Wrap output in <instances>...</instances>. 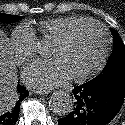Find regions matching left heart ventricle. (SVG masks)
<instances>
[{"label":"left heart ventricle","instance_id":"1","mask_svg":"<svg viewBox=\"0 0 125 125\" xmlns=\"http://www.w3.org/2000/svg\"><path fill=\"white\" fill-rule=\"evenodd\" d=\"M104 46V35L94 25L75 31L64 44L53 43L50 56L59 58L71 76L91 70L99 61Z\"/></svg>","mask_w":125,"mask_h":125}]
</instances>
